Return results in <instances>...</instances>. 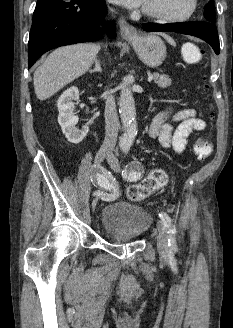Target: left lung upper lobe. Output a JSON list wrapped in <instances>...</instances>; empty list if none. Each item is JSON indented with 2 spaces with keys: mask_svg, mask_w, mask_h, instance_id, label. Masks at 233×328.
Returning <instances> with one entry per match:
<instances>
[{
  "mask_svg": "<svg viewBox=\"0 0 233 328\" xmlns=\"http://www.w3.org/2000/svg\"><path fill=\"white\" fill-rule=\"evenodd\" d=\"M205 12L204 16L209 23H216V16H215V10H214V0H209L208 3L204 7Z\"/></svg>",
  "mask_w": 233,
  "mask_h": 328,
  "instance_id": "left-lung-upper-lobe-1",
  "label": "left lung upper lobe"
}]
</instances>
